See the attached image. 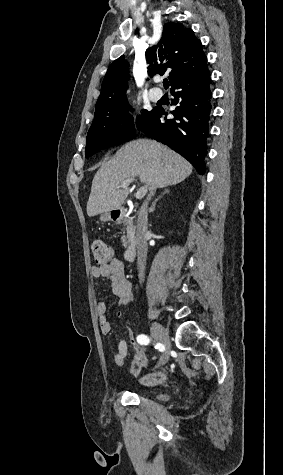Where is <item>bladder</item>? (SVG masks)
<instances>
[{
	"label": "bladder",
	"mask_w": 283,
	"mask_h": 475,
	"mask_svg": "<svg viewBox=\"0 0 283 475\" xmlns=\"http://www.w3.org/2000/svg\"><path fill=\"white\" fill-rule=\"evenodd\" d=\"M172 395H173V394L170 393V392H168V393L165 394L166 397H172Z\"/></svg>",
	"instance_id": "obj_1"
}]
</instances>
